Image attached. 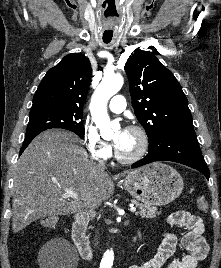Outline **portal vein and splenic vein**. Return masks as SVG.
<instances>
[{"label":"portal vein and splenic vein","instance_id":"portal-vein-and-splenic-vein-1","mask_svg":"<svg viewBox=\"0 0 221 268\" xmlns=\"http://www.w3.org/2000/svg\"><path fill=\"white\" fill-rule=\"evenodd\" d=\"M62 197L63 198H74V199H77L78 198V195L74 191L69 190V189H66L65 190V193L63 194ZM130 211L131 212H136V208L133 205H131L130 206Z\"/></svg>","mask_w":221,"mask_h":268}]
</instances>
